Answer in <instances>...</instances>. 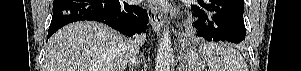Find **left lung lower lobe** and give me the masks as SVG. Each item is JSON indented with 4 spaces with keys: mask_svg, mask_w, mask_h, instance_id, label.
I'll return each instance as SVG.
<instances>
[{
    "mask_svg": "<svg viewBox=\"0 0 301 71\" xmlns=\"http://www.w3.org/2000/svg\"><path fill=\"white\" fill-rule=\"evenodd\" d=\"M191 5L197 21V36L206 41L240 43L245 40L243 0H197Z\"/></svg>",
    "mask_w": 301,
    "mask_h": 71,
    "instance_id": "obj_1",
    "label": "left lung lower lobe"
}]
</instances>
